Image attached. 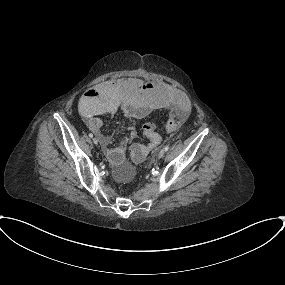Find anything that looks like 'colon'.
Here are the masks:
<instances>
[{"label":"colon","mask_w":285,"mask_h":285,"mask_svg":"<svg viewBox=\"0 0 285 285\" xmlns=\"http://www.w3.org/2000/svg\"><path fill=\"white\" fill-rule=\"evenodd\" d=\"M179 126L180 122L177 119L170 118L166 124V129L173 131ZM141 137L147 141V144H134L132 146L131 159L135 163H141L144 161L150 150L156 147L161 141V135L152 121H147L143 124Z\"/></svg>","instance_id":"obj_1"}]
</instances>
